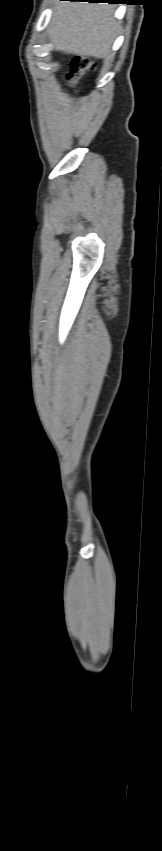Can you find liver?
Masks as SVG:
<instances>
[{
  "mask_svg": "<svg viewBox=\"0 0 162 851\" xmlns=\"http://www.w3.org/2000/svg\"><path fill=\"white\" fill-rule=\"evenodd\" d=\"M113 15L114 6L105 3L54 0L49 40L67 54L107 58L118 30Z\"/></svg>",
  "mask_w": 162,
  "mask_h": 851,
  "instance_id": "liver-1",
  "label": "liver"
}]
</instances>
